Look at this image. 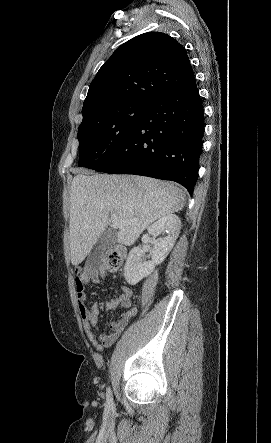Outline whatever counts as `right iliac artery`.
<instances>
[{
  "label": "right iliac artery",
  "instance_id": "1",
  "mask_svg": "<svg viewBox=\"0 0 271 443\" xmlns=\"http://www.w3.org/2000/svg\"><path fill=\"white\" fill-rule=\"evenodd\" d=\"M106 402L109 407L113 406V396L110 388H107Z\"/></svg>",
  "mask_w": 271,
  "mask_h": 443
}]
</instances>
